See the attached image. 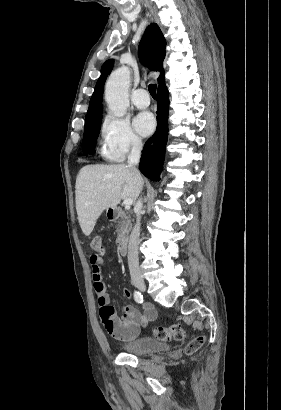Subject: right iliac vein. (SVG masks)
<instances>
[{
    "instance_id": "1",
    "label": "right iliac vein",
    "mask_w": 281,
    "mask_h": 410,
    "mask_svg": "<svg viewBox=\"0 0 281 410\" xmlns=\"http://www.w3.org/2000/svg\"><path fill=\"white\" fill-rule=\"evenodd\" d=\"M134 285L142 292L146 290V284L143 281H136L134 282Z\"/></svg>"
}]
</instances>
